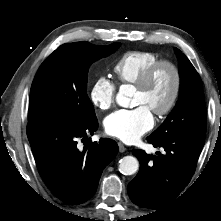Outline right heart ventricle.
Masks as SVG:
<instances>
[{
  "label": "right heart ventricle",
  "instance_id": "e07e8e85",
  "mask_svg": "<svg viewBox=\"0 0 221 221\" xmlns=\"http://www.w3.org/2000/svg\"><path fill=\"white\" fill-rule=\"evenodd\" d=\"M158 60L153 52H126L113 65V72L120 83L135 84L146 68Z\"/></svg>",
  "mask_w": 221,
  "mask_h": 221
}]
</instances>
